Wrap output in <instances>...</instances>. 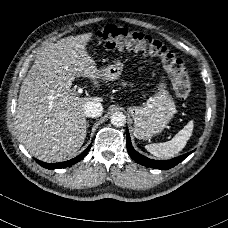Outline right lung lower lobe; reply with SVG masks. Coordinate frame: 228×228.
Wrapping results in <instances>:
<instances>
[{
    "mask_svg": "<svg viewBox=\"0 0 228 228\" xmlns=\"http://www.w3.org/2000/svg\"><path fill=\"white\" fill-rule=\"evenodd\" d=\"M90 147H91V145H89L86 148V150L84 152H82L80 155H78L77 157H75V158H73L71 160L65 161V162H60V163H44V162L39 161L37 159H35V161L39 165H41L42 167L47 168V169L65 168V167L71 166V165L79 162L81 159H83L87 155V153L89 152Z\"/></svg>",
    "mask_w": 228,
    "mask_h": 228,
    "instance_id": "right-lung-lower-lobe-1",
    "label": "right lung lower lobe"
}]
</instances>
